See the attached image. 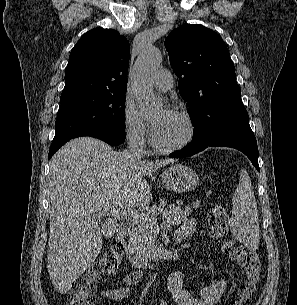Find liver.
<instances>
[{
    "label": "liver",
    "mask_w": 297,
    "mask_h": 305,
    "mask_svg": "<svg viewBox=\"0 0 297 305\" xmlns=\"http://www.w3.org/2000/svg\"><path fill=\"white\" fill-rule=\"evenodd\" d=\"M172 162L135 160L92 137L75 138L52 157L47 268L57 292L67 293L99 255L103 236L114 235L116 219L102 222L99 210L147 206L145 176Z\"/></svg>",
    "instance_id": "obj_1"
}]
</instances>
